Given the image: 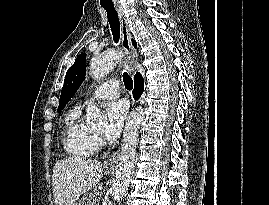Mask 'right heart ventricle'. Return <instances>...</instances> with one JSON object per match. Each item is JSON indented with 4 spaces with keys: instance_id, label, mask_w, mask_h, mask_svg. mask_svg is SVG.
Instances as JSON below:
<instances>
[{
    "instance_id": "e07e8e85",
    "label": "right heart ventricle",
    "mask_w": 269,
    "mask_h": 205,
    "mask_svg": "<svg viewBox=\"0 0 269 205\" xmlns=\"http://www.w3.org/2000/svg\"><path fill=\"white\" fill-rule=\"evenodd\" d=\"M81 110L71 109L64 119L62 145L65 152L72 158L86 159L96 150L95 137L80 124Z\"/></svg>"
}]
</instances>
